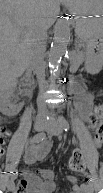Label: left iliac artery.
<instances>
[{"mask_svg": "<svg viewBox=\"0 0 103 193\" xmlns=\"http://www.w3.org/2000/svg\"><path fill=\"white\" fill-rule=\"evenodd\" d=\"M60 123L65 131L69 130V128H70L69 124L63 116L60 117ZM88 184H89V186H92L94 184V178L91 177L90 175L88 176Z\"/></svg>", "mask_w": 103, "mask_h": 193, "instance_id": "obj_1", "label": "left iliac artery"}]
</instances>
